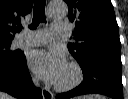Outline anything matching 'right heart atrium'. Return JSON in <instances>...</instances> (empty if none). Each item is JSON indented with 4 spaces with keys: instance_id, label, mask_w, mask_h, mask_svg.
<instances>
[{
    "instance_id": "1",
    "label": "right heart atrium",
    "mask_w": 128,
    "mask_h": 99,
    "mask_svg": "<svg viewBox=\"0 0 128 99\" xmlns=\"http://www.w3.org/2000/svg\"><path fill=\"white\" fill-rule=\"evenodd\" d=\"M33 81H34V82H37L38 80H37V78L34 77V78H33Z\"/></svg>"
}]
</instances>
